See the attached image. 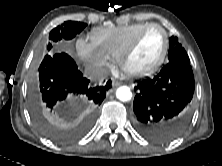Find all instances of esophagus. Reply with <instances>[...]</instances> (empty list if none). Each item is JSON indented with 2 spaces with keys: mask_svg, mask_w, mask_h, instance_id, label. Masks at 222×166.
Masks as SVG:
<instances>
[{
  "mask_svg": "<svg viewBox=\"0 0 222 166\" xmlns=\"http://www.w3.org/2000/svg\"><path fill=\"white\" fill-rule=\"evenodd\" d=\"M122 83L120 82V81H116V80H114L113 82H112V85H113V87L114 88H117L118 86H120Z\"/></svg>",
  "mask_w": 222,
  "mask_h": 166,
  "instance_id": "obj_1",
  "label": "esophagus"
}]
</instances>
